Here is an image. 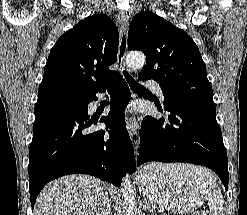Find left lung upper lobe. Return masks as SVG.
I'll return each instance as SVG.
<instances>
[{
  "mask_svg": "<svg viewBox=\"0 0 247 215\" xmlns=\"http://www.w3.org/2000/svg\"><path fill=\"white\" fill-rule=\"evenodd\" d=\"M129 50L146 55L139 76L159 83L165 106L177 102L214 105L205 63L192 38L183 30L150 11L137 14L128 32Z\"/></svg>",
  "mask_w": 247,
  "mask_h": 215,
  "instance_id": "1",
  "label": "left lung upper lobe"
}]
</instances>
